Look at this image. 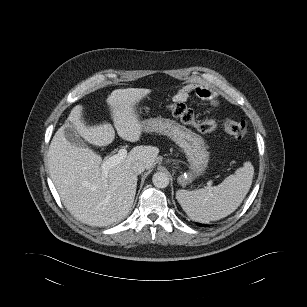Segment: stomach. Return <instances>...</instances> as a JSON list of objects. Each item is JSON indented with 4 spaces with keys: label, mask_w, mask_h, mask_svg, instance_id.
Masks as SVG:
<instances>
[{
    "label": "stomach",
    "mask_w": 307,
    "mask_h": 307,
    "mask_svg": "<svg viewBox=\"0 0 307 307\" xmlns=\"http://www.w3.org/2000/svg\"><path fill=\"white\" fill-rule=\"evenodd\" d=\"M142 129L146 132L167 135L183 149L189 163V171L178 178L179 184L186 185L205 173L210 156L200 135L193 133L173 120L162 117L149 118L143 121Z\"/></svg>",
    "instance_id": "1"
}]
</instances>
